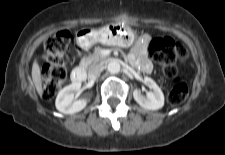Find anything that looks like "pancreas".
<instances>
[{
  "label": "pancreas",
  "mask_w": 225,
  "mask_h": 155,
  "mask_svg": "<svg viewBox=\"0 0 225 155\" xmlns=\"http://www.w3.org/2000/svg\"><path fill=\"white\" fill-rule=\"evenodd\" d=\"M101 50L102 49L100 47H96L92 55L83 57L80 62V67L88 68L89 66L104 61L106 57L101 54Z\"/></svg>",
  "instance_id": "pancreas-1"
}]
</instances>
